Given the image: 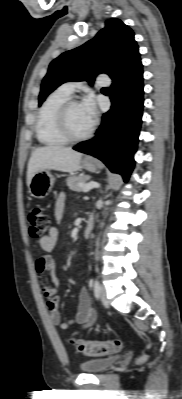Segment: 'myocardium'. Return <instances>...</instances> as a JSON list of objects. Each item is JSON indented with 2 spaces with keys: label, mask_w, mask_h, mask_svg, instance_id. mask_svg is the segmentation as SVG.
Segmentation results:
<instances>
[{
  "label": "myocardium",
  "mask_w": 182,
  "mask_h": 399,
  "mask_svg": "<svg viewBox=\"0 0 182 399\" xmlns=\"http://www.w3.org/2000/svg\"><path fill=\"white\" fill-rule=\"evenodd\" d=\"M79 103L76 99L74 98H69L66 102L63 103V105L60 107L58 114H57V125L60 134L62 137L69 141V142H81L86 139H88L92 133L94 132L95 129V123L93 122L88 129V131L82 135H74L69 127V121H68V114L69 110L72 107V105Z\"/></svg>",
  "instance_id": "f54148a6"
}]
</instances>
